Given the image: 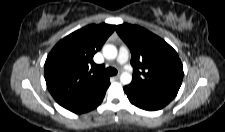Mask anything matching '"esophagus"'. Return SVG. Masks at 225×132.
I'll use <instances>...</instances> for the list:
<instances>
[{"mask_svg": "<svg viewBox=\"0 0 225 132\" xmlns=\"http://www.w3.org/2000/svg\"><path fill=\"white\" fill-rule=\"evenodd\" d=\"M112 78L117 81V80H119L120 76L119 75H115Z\"/></svg>", "mask_w": 225, "mask_h": 132, "instance_id": "obj_1", "label": "esophagus"}]
</instances>
